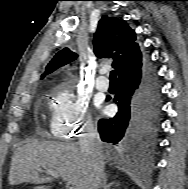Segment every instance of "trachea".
I'll return each mask as SVG.
<instances>
[{"instance_id": "trachea-1", "label": "trachea", "mask_w": 188, "mask_h": 189, "mask_svg": "<svg viewBox=\"0 0 188 189\" xmlns=\"http://www.w3.org/2000/svg\"><path fill=\"white\" fill-rule=\"evenodd\" d=\"M110 82H112V83H115L116 82V73H115V71H111L110 72Z\"/></svg>"}]
</instances>
